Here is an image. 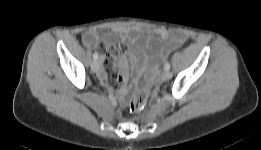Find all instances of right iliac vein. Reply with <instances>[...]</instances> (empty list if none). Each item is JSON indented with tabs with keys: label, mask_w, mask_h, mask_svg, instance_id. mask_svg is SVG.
I'll list each match as a JSON object with an SVG mask.
<instances>
[{
	"label": "right iliac vein",
	"mask_w": 261,
	"mask_h": 150,
	"mask_svg": "<svg viewBox=\"0 0 261 150\" xmlns=\"http://www.w3.org/2000/svg\"><path fill=\"white\" fill-rule=\"evenodd\" d=\"M100 69V65L99 63L95 60L93 61V63L91 64V70L95 73H97Z\"/></svg>",
	"instance_id": "63e3f726"
}]
</instances>
